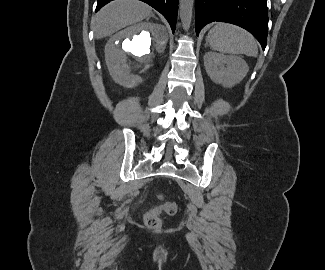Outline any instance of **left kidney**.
<instances>
[{"label": "left kidney", "mask_w": 325, "mask_h": 270, "mask_svg": "<svg viewBox=\"0 0 325 270\" xmlns=\"http://www.w3.org/2000/svg\"><path fill=\"white\" fill-rule=\"evenodd\" d=\"M204 66L214 83L228 88L240 83L249 71L247 63L241 57L212 51L204 55Z\"/></svg>", "instance_id": "1"}]
</instances>
